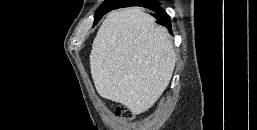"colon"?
<instances>
[{
	"mask_svg": "<svg viewBox=\"0 0 257 130\" xmlns=\"http://www.w3.org/2000/svg\"><path fill=\"white\" fill-rule=\"evenodd\" d=\"M116 116L122 121H130L133 118V113L126 107H118Z\"/></svg>",
	"mask_w": 257,
	"mask_h": 130,
	"instance_id": "obj_1",
	"label": "colon"
}]
</instances>
